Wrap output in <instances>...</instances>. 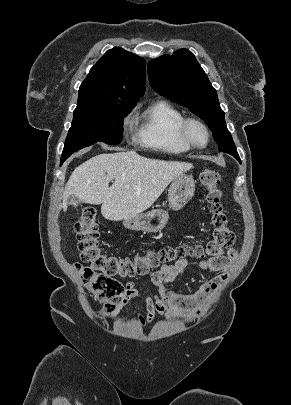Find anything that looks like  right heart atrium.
I'll list each match as a JSON object with an SVG mask.
<instances>
[{
  "mask_svg": "<svg viewBox=\"0 0 291 405\" xmlns=\"http://www.w3.org/2000/svg\"><path fill=\"white\" fill-rule=\"evenodd\" d=\"M131 120H132L131 114H128V115H126L124 117V119H123V127H124L125 130L130 126Z\"/></svg>",
  "mask_w": 291,
  "mask_h": 405,
  "instance_id": "right-heart-atrium-1",
  "label": "right heart atrium"
}]
</instances>
